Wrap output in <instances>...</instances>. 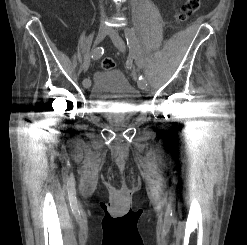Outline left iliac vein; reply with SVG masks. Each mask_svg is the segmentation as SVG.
Instances as JSON below:
<instances>
[{
  "instance_id": "obj_1",
  "label": "left iliac vein",
  "mask_w": 247,
  "mask_h": 245,
  "mask_svg": "<svg viewBox=\"0 0 247 245\" xmlns=\"http://www.w3.org/2000/svg\"><path fill=\"white\" fill-rule=\"evenodd\" d=\"M109 35L114 43V45L122 52L125 53L126 51V45L121 36L118 34V32L115 29L109 30ZM139 45V44H138ZM138 86L142 90L148 89V84L146 82H138Z\"/></svg>"
}]
</instances>
